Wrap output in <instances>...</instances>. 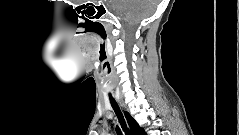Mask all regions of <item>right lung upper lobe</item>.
<instances>
[{"instance_id": "obj_1", "label": "right lung upper lobe", "mask_w": 239, "mask_h": 135, "mask_svg": "<svg viewBox=\"0 0 239 135\" xmlns=\"http://www.w3.org/2000/svg\"><path fill=\"white\" fill-rule=\"evenodd\" d=\"M124 114L131 129L132 135H146L144 129L138 125V123L132 118V116L128 112L125 111ZM116 130L118 134L121 133L118 127Z\"/></svg>"}]
</instances>
